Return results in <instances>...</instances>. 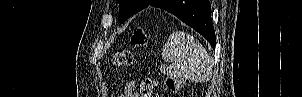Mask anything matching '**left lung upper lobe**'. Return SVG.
Here are the masks:
<instances>
[{"instance_id": "obj_1", "label": "left lung upper lobe", "mask_w": 302, "mask_h": 97, "mask_svg": "<svg viewBox=\"0 0 302 97\" xmlns=\"http://www.w3.org/2000/svg\"><path fill=\"white\" fill-rule=\"evenodd\" d=\"M155 0H119V22L123 23L127 18L150 6Z\"/></svg>"}]
</instances>
